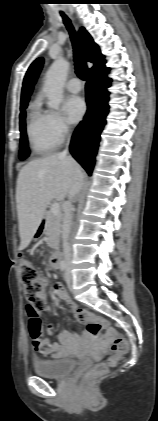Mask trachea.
Wrapping results in <instances>:
<instances>
[{
	"label": "trachea",
	"mask_w": 158,
	"mask_h": 421,
	"mask_svg": "<svg viewBox=\"0 0 158 421\" xmlns=\"http://www.w3.org/2000/svg\"><path fill=\"white\" fill-rule=\"evenodd\" d=\"M61 16L63 18L65 26L67 27V30L69 31L71 41L73 44L76 74L80 79L85 80L88 75V67L86 64L85 57L78 46L75 30L71 24L70 19L64 13H61Z\"/></svg>",
	"instance_id": "3493384b"
}]
</instances>
